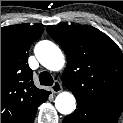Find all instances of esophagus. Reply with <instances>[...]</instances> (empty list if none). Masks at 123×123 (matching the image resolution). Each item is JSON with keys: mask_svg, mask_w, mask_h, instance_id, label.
Returning <instances> with one entry per match:
<instances>
[{"mask_svg": "<svg viewBox=\"0 0 123 123\" xmlns=\"http://www.w3.org/2000/svg\"><path fill=\"white\" fill-rule=\"evenodd\" d=\"M51 90L53 93H59L62 91V85L59 81H55L54 84L51 86Z\"/></svg>", "mask_w": 123, "mask_h": 123, "instance_id": "34e87169", "label": "esophagus"}]
</instances>
